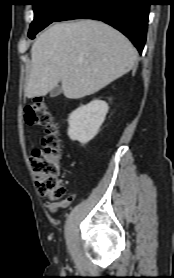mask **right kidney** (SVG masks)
<instances>
[{"instance_id":"right-kidney-1","label":"right kidney","mask_w":174,"mask_h":278,"mask_svg":"<svg viewBox=\"0 0 174 278\" xmlns=\"http://www.w3.org/2000/svg\"><path fill=\"white\" fill-rule=\"evenodd\" d=\"M107 112L108 104L98 99L77 108L68 119L69 138L82 144L92 140L104 122Z\"/></svg>"}]
</instances>
